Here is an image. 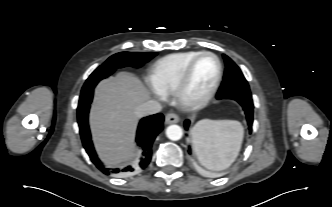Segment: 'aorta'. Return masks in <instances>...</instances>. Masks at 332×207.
Returning a JSON list of instances; mask_svg holds the SVG:
<instances>
[{
    "label": "aorta",
    "mask_w": 332,
    "mask_h": 207,
    "mask_svg": "<svg viewBox=\"0 0 332 207\" xmlns=\"http://www.w3.org/2000/svg\"><path fill=\"white\" fill-rule=\"evenodd\" d=\"M166 136L172 141H178L183 136V130L178 125H170L166 129Z\"/></svg>",
    "instance_id": "obj_1"
}]
</instances>
